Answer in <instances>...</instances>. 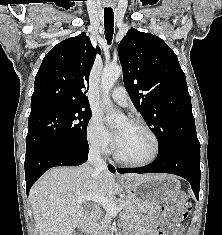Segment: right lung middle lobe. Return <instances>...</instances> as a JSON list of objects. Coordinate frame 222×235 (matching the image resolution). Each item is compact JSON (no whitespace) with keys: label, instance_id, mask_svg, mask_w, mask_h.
I'll return each mask as SVG.
<instances>
[{"label":"right lung middle lobe","instance_id":"right-lung-middle-lobe-1","mask_svg":"<svg viewBox=\"0 0 222 235\" xmlns=\"http://www.w3.org/2000/svg\"><path fill=\"white\" fill-rule=\"evenodd\" d=\"M75 105H56L28 118L26 158L55 147L89 149L86 137L91 118L89 108Z\"/></svg>","mask_w":222,"mask_h":235}]
</instances>
